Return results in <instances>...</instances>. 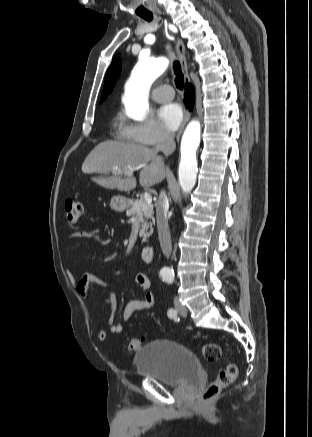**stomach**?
<instances>
[{
    "label": "stomach",
    "mask_w": 312,
    "mask_h": 437,
    "mask_svg": "<svg viewBox=\"0 0 312 437\" xmlns=\"http://www.w3.org/2000/svg\"><path fill=\"white\" fill-rule=\"evenodd\" d=\"M129 206V200L123 196H113L110 201V207L116 212H123Z\"/></svg>",
    "instance_id": "0dacf381"
}]
</instances>
